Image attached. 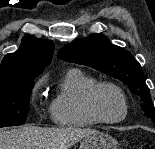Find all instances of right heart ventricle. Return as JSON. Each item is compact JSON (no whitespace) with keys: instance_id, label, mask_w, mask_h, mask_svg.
Instances as JSON below:
<instances>
[{"instance_id":"1","label":"right heart ventricle","mask_w":155,"mask_h":149,"mask_svg":"<svg viewBox=\"0 0 155 149\" xmlns=\"http://www.w3.org/2000/svg\"><path fill=\"white\" fill-rule=\"evenodd\" d=\"M97 80L73 68L60 81L59 89L50 104L52 120L64 127H90L99 123L89 112L86 94Z\"/></svg>"}]
</instances>
